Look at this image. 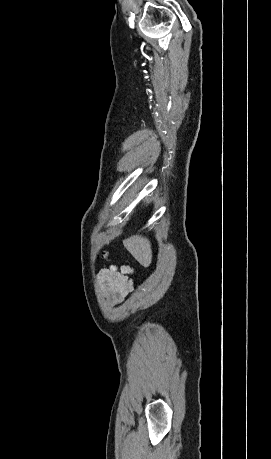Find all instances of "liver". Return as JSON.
Here are the masks:
<instances>
[{"mask_svg":"<svg viewBox=\"0 0 271 459\" xmlns=\"http://www.w3.org/2000/svg\"><path fill=\"white\" fill-rule=\"evenodd\" d=\"M123 243L141 265H144V267L150 265L152 261V249L151 243L147 237H142V235H131V237L123 239Z\"/></svg>","mask_w":271,"mask_h":459,"instance_id":"liver-1","label":"liver"}]
</instances>
